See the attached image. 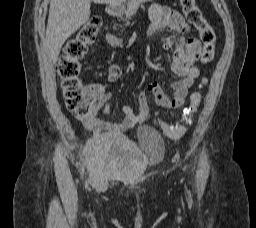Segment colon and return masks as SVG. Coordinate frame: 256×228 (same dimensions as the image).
<instances>
[{"mask_svg": "<svg viewBox=\"0 0 256 228\" xmlns=\"http://www.w3.org/2000/svg\"><path fill=\"white\" fill-rule=\"evenodd\" d=\"M180 5L188 22L199 31L200 40L203 43L201 62H211L215 57L216 45V34L213 28L203 17L196 0H180ZM101 26V18L96 15L92 16L76 35L67 41L58 62L60 86L66 108L80 120L94 117L99 108L98 97L82 83L81 60L95 42ZM205 82L204 79L202 85ZM201 98L199 90L191 94L190 105L179 123L172 124L159 120V124L168 137L178 139L185 134L197 112Z\"/></svg>", "mask_w": 256, "mask_h": 228, "instance_id": "colon-1", "label": "colon"}]
</instances>
